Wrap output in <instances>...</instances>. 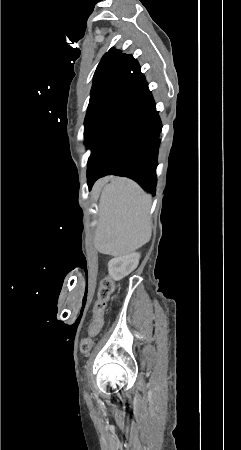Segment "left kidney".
Masks as SVG:
<instances>
[{
    "label": "left kidney",
    "mask_w": 241,
    "mask_h": 450,
    "mask_svg": "<svg viewBox=\"0 0 241 450\" xmlns=\"http://www.w3.org/2000/svg\"><path fill=\"white\" fill-rule=\"evenodd\" d=\"M140 260V254H128V256H120V258H113L108 262V272L113 280H122L131 272L136 270Z\"/></svg>",
    "instance_id": "obj_1"
}]
</instances>
